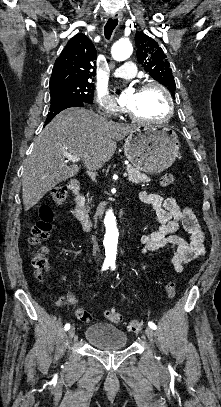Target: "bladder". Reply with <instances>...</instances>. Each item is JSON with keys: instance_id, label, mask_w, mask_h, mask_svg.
<instances>
[{"instance_id": "obj_1", "label": "bladder", "mask_w": 221, "mask_h": 407, "mask_svg": "<svg viewBox=\"0 0 221 407\" xmlns=\"http://www.w3.org/2000/svg\"><path fill=\"white\" fill-rule=\"evenodd\" d=\"M85 340L99 349H117L127 343V334L110 324L94 323L85 330Z\"/></svg>"}]
</instances>
